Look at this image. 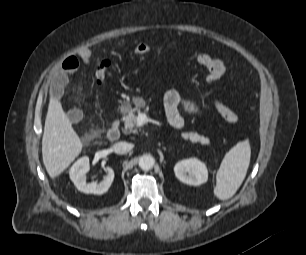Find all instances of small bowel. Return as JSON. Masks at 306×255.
I'll return each instance as SVG.
<instances>
[{
    "mask_svg": "<svg viewBox=\"0 0 306 255\" xmlns=\"http://www.w3.org/2000/svg\"><path fill=\"white\" fill-rule=\"evenodd\" d=\"M83 61L88 62L91 59V52L84 49L80 52ZM79 67V60L75 56H69L63 60L61 66L55 70L50 77L51 96L54 99H60L64 88L68 82V76L74 73ZM164 111L169 124L177 129L184 126V119L179 113V107H182L190 116L199 118L202 116L200 106L193 100L184 97L178 90L171 89L167 91L163 98ZM68 117L71 122L79 121L81 112L77 109L70 110Z\"/></svg>",
    "mask_w": 306,
    "mask_h": 255,
    "instance_id": "small-bowel-1",
    "label": "small bowel"
}]
</instances>
